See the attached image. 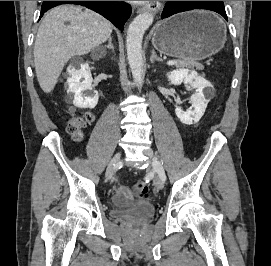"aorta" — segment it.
Listing matches in <instances>:
<instances>
[{
  "label": "aorta",
  "instance_id": "aorta-1",
  "mask_svg": "<svg viewBox=\"0 0 271 266\" xmlns=\"http://www.w3.org/2000/svg\"><path fill=\"white\" fill-rule=\"evenodd\" d=\"M152 13L138 15L129 25L126 37L127 59L134 81L141 84L143 81L142 40L145 31L153 23Z\"/></svg>",
  "mask_w": 271,
  "mask_h": 266
}]
</instances>
